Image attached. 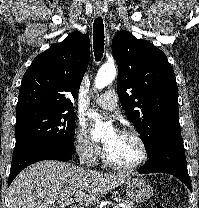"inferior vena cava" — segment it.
I'll return each instance as SVG.
<instances>
[{
    "label": "inferior vena cava",
    "mask_w": 199,
    "mask_h": 208,
    "mask_svg": "<svg viewBox=\"0 0 199 208\" xmlns=\"http://www.w3.org/2000/svg\"><path fill=\"white\" fill-rule=\"evenodd\" d=\"M84 164H85L84 158H81V157H80V165H84Z\"/></svg>",
    "instance_id": "inferior-vena-cava-1"
}]
</instances>
